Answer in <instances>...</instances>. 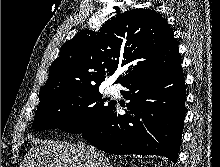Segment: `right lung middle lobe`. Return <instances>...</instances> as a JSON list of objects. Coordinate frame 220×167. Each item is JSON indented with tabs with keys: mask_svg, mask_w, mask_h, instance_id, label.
I'll return each instance as SVG.
<instances>
[{
	"mask_svg": "<svg viewBox=\"0 0 220 167\" xmlns=\"http://www.w3.org/2000/svg\"><path fill=\"white\" fill-rule=\"evenodd\" d=\"M111 104L102 99L98 86L65 90L40 102L32 126L38 131L58 128L80 134L92 127Z\"/></svg>",
	"mask_w": 220,
	"mask_h": 167,
	"instance_id": "right-lung-middle-lobe-1",
	"label": "right lung middle lobe"
}]
</instances>
